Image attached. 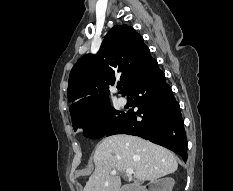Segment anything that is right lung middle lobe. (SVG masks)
Instances as JSON below:
<instances>
[{"label":"right lung middle lobe","mask_w":233,"mask_h":191,"mask_svg":"<svg viewBox=\"0 0 233 191\" xmlns=\"http://www.w3.org/2000/svg\"><path fill=\"white\" fill-rule=\"evenodd\" d=\"M124 112L113 109L110 102L72 117L73 128H82L85 137L97 139L105 136L124 116Z\"/></svg>","instance_id":"obj_1"}]
</instances>
